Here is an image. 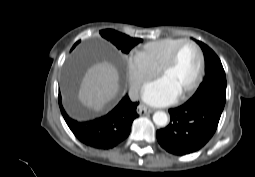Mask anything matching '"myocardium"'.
Masks as SVG:
<instances>
[{
  "instance_id": "obj_1",
  "label": "myocardium",
  "mask_w": 255,
  "mask_h": 177,
  "mask_svg": "<svg viewBox=\"0 0 255 177\" xmlns=\"http://www.w3.org/2000/svg\"><path fill=\"white\" fill-rule=\"evenodd\" d=\"M185 45H192L196 48L199 54L200 64H199V70L195 78V81L190 87H188L185 91L179 94L180 98H185L191 95L199 87L203 79L204 70H205V57L201 47L193 40H190V39L183 40L173 49L169 58L166 60V62L162 65V67L159 70L160 76H163L168 70H170L174 66L181 48Z\"/></svg>"
}]
</instances>
